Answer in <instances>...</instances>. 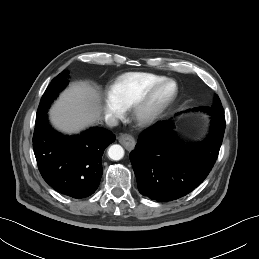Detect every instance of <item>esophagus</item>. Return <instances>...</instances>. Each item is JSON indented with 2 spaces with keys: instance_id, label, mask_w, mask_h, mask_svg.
<instances>
[{
  "instance_id": "esophagus-1",
  "label": "esophagus",
  "mask_w": 259,
  "mask_h": 259,
  "mask_svg": "<svg viewBox=\"0 0 259 259\" xmlns=\"http://www.w3.org/2000/svg\"><path fill=\"white\" fill-rule=\"evenodd\" d=\"M118 141L129 151L135 147V139L129 134L120 135Z\"/></svg>"
}]
</instances>
